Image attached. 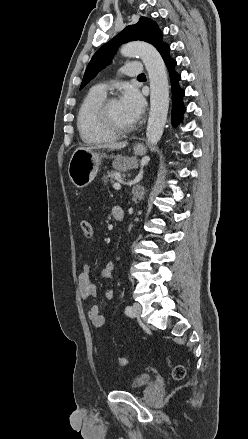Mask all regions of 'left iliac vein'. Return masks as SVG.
Listing matches in <instances>:
<instances>
[{
  "label": "left iliac vein",
  "instance_id": "left-iliac-vein-1",
  "mask_svg": "<svg viewBox=\"0 0 248 439\" xmlns=\"http://www.w3.org/2000/svg\"><path fill=\"white\" fill-rule=\"evenodd\" d=\"M141 312H142L141 305L138 304V303L133 304V314H132V316L138 318V317H140Z\"/></svg>",
  "mask_w": 248,
  "mask_h": 439
}]
</instances>
